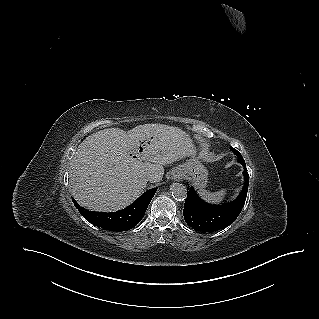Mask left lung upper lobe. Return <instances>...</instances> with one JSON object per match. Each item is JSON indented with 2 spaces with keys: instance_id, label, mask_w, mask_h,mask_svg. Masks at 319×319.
<instances>
[{
  "instance_id": "1",
  "label": "left lung upper lobe",
  "mask_w": 319,
  "mask_h": 319,
  "mask_svg": "<svg viewBox=\"0 0 319 319\" xmlns=\"http://www.w3.org/2000/svg\"><path fill=\"white\" fill-rule=\"evenodd\" d=\"M231 151H233V153L238 156V162H244V159L243 157L241 156V154L236 150L234 149L233 147H231Z\"/></svg>"
}]
</instances>
